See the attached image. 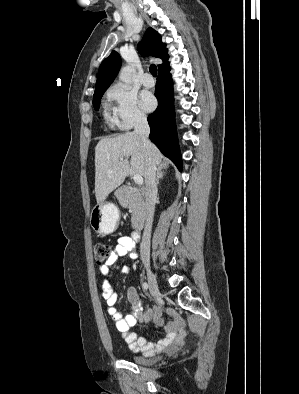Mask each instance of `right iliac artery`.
<instances>
[{
  "label": "right iliac artery",
  "instance_id": "right-iliac-artery-1",
  "mask_svg": "<svg viewBox=\"0 0 299 394\" xmlns=\"http://www.w3.org/2000/svg\"><path fill=\"white\" fill-rule=\"evenodd\" d=\"M142 286H143V289H144L145 291L148 290V287H149V286H148V284H147L146 282H144Z\"/></svg>",
  "mask_w": 299,
  "mask_h": 394
}]
</instances>
